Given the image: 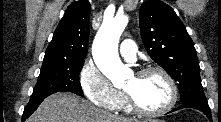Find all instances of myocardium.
<instances>
[{
	"label": "myocardium",
	"mask_w": 221,
	"mask_h": 122,
	"mask_svg": "<svg viewBox=\"0 0 221 122\" xmlns=\"http://www.w3.org/2000/svg\"><path fill=\"white\" fill-rule=\"evenodd\" d=\"M151 73H157V74L161 75L165 79L166 83L168 84L170 97H169L168 103L164 107L157 109V110H148V109L143 108L136 101V99L133 97V95L131 93L125 91L124 95L126 97V100L129 104L130 108L135 113H137L139 115H143V116H150V117L161 116V115H164V114L168 113L169 111H171L174 108V106L176 105L177 99H178V90H177L176 83H175L174 79L172 78V76L161 67L150 66V67L143 68V69L139 70L135 74V76L140 78V77H143V76L151 74Z\"/></svg>",
	"instance_id": "1"
}]
</instances>
